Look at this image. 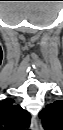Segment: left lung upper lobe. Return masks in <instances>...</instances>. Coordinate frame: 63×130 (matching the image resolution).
<instances>
[{"label":"left lung upper lobe","instance_id":"1","mask_svg":"<svg viewBox=\"0 0 63 130\" xmlns=\"http://www.w3.org/2000/svg\"><path fill=\"white\" fill-rule=\"evenodd\" d=\"M46 130H63V102L55 101L40 112Z\"/></svg>","mask_w":63,"mask_h":130}]
</instances>
